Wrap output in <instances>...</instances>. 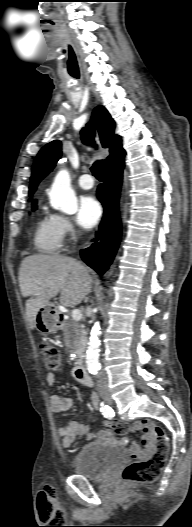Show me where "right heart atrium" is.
<instances>
[{
  "instance_id": "right-heart-atrium-1",
  "label": "right heart atrium",
  "mask_w": 192,
  "mask_h": 527,
  "mask_svg": "<svg viewBox=\"0 0 192 527\" xmlns=\"http://www.w3.org/2000/svg\"><path fill=\"white\" fill-rule=\"evenodd\" d=\"M56 225L62 237V240L69 239L74 233L71 220L63 215H54Z\"/></svg>"
}]
</instances>
